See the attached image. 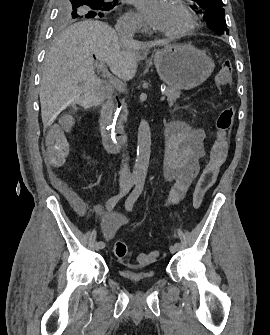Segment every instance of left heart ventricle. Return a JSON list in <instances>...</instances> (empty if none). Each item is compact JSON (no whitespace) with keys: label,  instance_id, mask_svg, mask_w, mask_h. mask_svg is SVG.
Masks as SVG:
<instances>
[{"label":"left heart ventricle","instance_id":"b2bd125f","mask_svg":"<svg viewBox=\"0 0 270 335\" xmlns=\"http://www.w3.org/2000/svg\"><path fill=\"white\" fill-rule=\"evenodd\" d=\"M187 24L186 18L179 13L177 10H175L173 20H172V28L174 32H177L181 29H183ZM179 52H188V51H179Z\"/></svg>","mask_w":270,"mask_h":335}]
</instances>
